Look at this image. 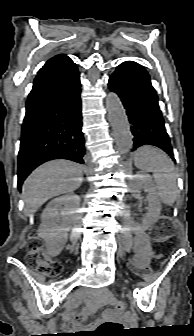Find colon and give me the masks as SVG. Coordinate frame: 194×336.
Here are the masks:
<instances>
[{
	"label": "colon",
	"mask_w": 194,
	"mask_h": 336,
	"mask_svg": "<svg viewBox=\"0 0 194 336\" xmlns=\"http://www.w3.org/2000/svg\"><path fill=\"white\" fill-rule=\"evenodd\" d=\"M175 226L170 219L169 213L164 212L160 221L155 225L152 231V238L157 245L158 257L162 258L173 251ZM28 264L35 267L41 274L47 277H55L62 271V265L55 260L45 249L41 241L32 235L28 242V254L26 257ZM140 274L144 273L143 269L137 270ZM117 313L125 312V305L119 302L115 305ZM124 331L123 326L115 321L105 322L100 325L93 336H119Z\"/></svg>",
	"instance_id": "colon-1"
}]
</instances>
